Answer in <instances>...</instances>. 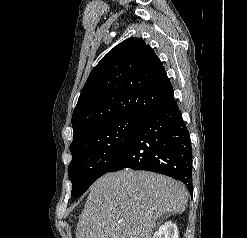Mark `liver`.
<instances>
[{"mask_svg":"<svg viewBox=\"0 0 247 238\" xmlns=\"http://www.w3.org/2000/svg\"><path fill=\"white\" fill-rule=\"evenodd\" d=\"M188 193L164 175L125 169L96 180L79 216L76 238H151L156 221L186 210Z\"/></svg>","mask_w":247,"mask_h":238,"instance_id":"liver-1","label":"liver"}]
</instances>
